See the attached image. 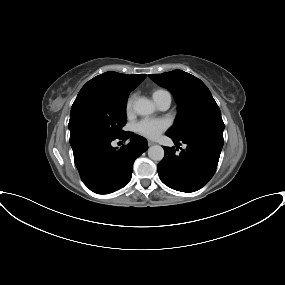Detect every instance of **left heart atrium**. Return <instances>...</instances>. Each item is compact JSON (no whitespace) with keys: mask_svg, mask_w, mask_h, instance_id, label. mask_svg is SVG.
I'll use <instances>...</instances> for the list:
<instances>
[{"mask_svg":"<svg viewBox=\"0 0 285 285\" xmlns=\"http://www.w3.org/2000/svg\"><path fill=\"white\" fill-rule=\"evenodd\" d=\"M169 126L165 119L146 118L135 125V131L149 139H156Z\"/></svg>","mask_w":285,"mask_h":285,"instance_id":"obj_1","label":"left heart atrium"}]
</instances>
